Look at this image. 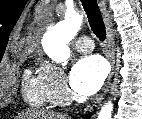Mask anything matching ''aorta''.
<instances>
[{"label":"aorta","mask_w":142,"mask_h":119,"mask_svg":"<svg viewBox=\"0 0 142 119\" xmlns=\"http://www.w3.org/2000/svg\"><path fill=\"white\" fill-rule=\"evenodd\" d=\"M83 22V15L67 11L65 19L50 28L43 36L42 47L49 58L67 64L70 57L68 43L75 37ZM113 104L106 103L99 112L98 119H111Z\"/></svg>","instance_id":"762f6f07"}]
</instances>
